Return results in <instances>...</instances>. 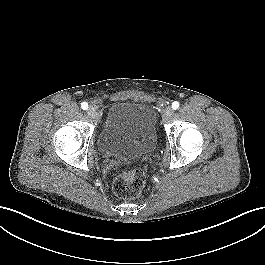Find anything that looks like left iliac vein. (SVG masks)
Masks as SVG:
<instances>
[{
    "label": "left iliac vein",
    "mask_w": 265,
    "mask_h": 265,
    "mask_svg": "<svg viewBox=\"0 0 265 265\" xmlns=\"http://www.w3.org/2000/svg\"><path fill=\"white\" fill-rule=\"evenodd\" d=\"M173 114V110L171 107H167L163 114L164 121H167Z\"/></svg>",
    "instance_id": "left-iliac-vein-1"
}]
</instances>
